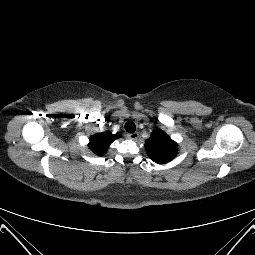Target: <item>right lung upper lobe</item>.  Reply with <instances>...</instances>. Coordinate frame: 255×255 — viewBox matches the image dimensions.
I'll return each mask as SVG.
<instances>
[{
  "label": "right lung upper lobe",
  "instance_id": "1",
  "mask_svg": "<svg viewBox=\"0 0 255 255\" xmlns=\"http://www.w3.org/2000/svg\"><path fill=\"white\" fill-rule=\"evenodd\" d=\"M121 135L119 133L112 134L109 131L98 133L92 135L89 138V148L93 153L99 156H103L106 152L110 144L117 138H120Z\"/></svg>",
  "mask_w": 255,
  "mask_h": 255
}]
</instances>
